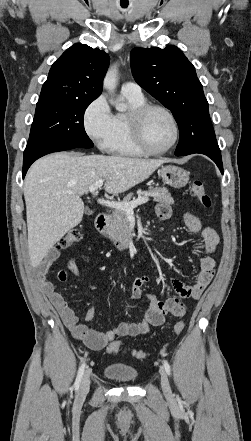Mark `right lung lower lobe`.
<instances>
[{"label":"right lung lower lobe","mask_w":251,"mask_h":441,"mask_svg":"<svg viewBox=\"0 0 251 441\" xmlns=\"http://www.w3.org/2000/svg\"><path fill=\"white\" fill-rule=\"evenodd\" d=\"M75 148L76 147L62 146L40 140H29L24 151L23 178L25 177L28 168L38 158L52 152L70 150Z\"/></svg>","instance_id":"1"}]
</instances>
